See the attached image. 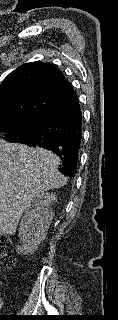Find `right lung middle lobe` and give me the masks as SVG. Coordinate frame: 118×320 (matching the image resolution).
I'll list each match as a JSON object with an SVG mask.
<instances>
[{
  "instance_id": "right-lung-middle-lobe-1",
  "label": "right lung middle lobe",
  "mask_w": 118,
  "mask_h": 320,
  "mask_svg": "<svg viewBox=\"0 0 118 320\" xmlns=\"http://www.w3.org/2000/svg\"><path fill=\"white\" fill-rule=\"evenodd\" d=\"M45 120L41 119H5L0 120V132L8 133L7 139L11 142L29 137L32 133L40 130Z\"/></svg>"
}]
</instances>
